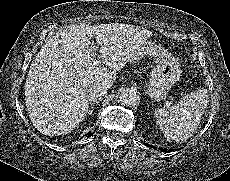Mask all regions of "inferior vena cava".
I'll return each mask as SVG.
<instances>
[{
	"label": "inferior vena cava",
	"mask_w": 230,
	"mask_h": 181,
	"mask_svg": "<svg viewBox=\"0 0 230 181\" xmlns=\"http://www.w3.org/2000/svg\"><path fill=\"white\" fill-rule=\"evenodd\" d=\"M107 93V88L104 86H94L90 88L86 94L89 101H97L102 99Z\"/></svg>",
	"instance_id": "obj_1"
}]
</instances>
